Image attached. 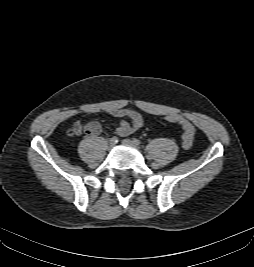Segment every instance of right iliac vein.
Instances as JSON below:
<instances>
[{
  "mask_svg": "<svg viewBox=\"0 0 254 267\" xmlns=\"http://www.w3.org/2000/svg\"><path fill=\"white\" fill-rule=\"evenodd\" d=\"M112 147H113V144H110V145H109V149L112 148Z\"/></svg>",
  "mask_w": 254,
  "mask_h": 267,
  "instance_id": "63e3f726",
  "label": "right iliac vein"
}]
</instances>
